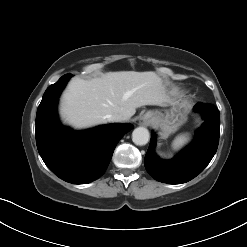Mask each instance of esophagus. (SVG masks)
<instances>
[{"label":"esophagus","mask_w":247,"mask_h":247,"mask_svg":"<svg viewBox=\"0 0 247 247\" xmlns=\"http://www.w3.org/2000/svg\"><path fill=\"white\" fill-rule=\"evenodd\" d=\"M151 121H152V116H151V114H150V113H146V114H144V115L140 118L139 123H140V125H142V126H149L150 123H151Z\"/></svg>","instance_id":"1"}]
</instances>
